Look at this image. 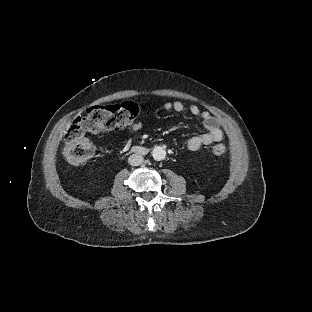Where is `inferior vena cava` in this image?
Returning a JSON list of instances; mask_svg holds the SVG:
<instances>
[{
	"label": "inferior vena cava",
	"instance_id": "602c4592",
	"mask_svg": "<svg viewBox=\"0 0 312 312\" xmlns=\"http://www.w3.org/2000/svg\"><path fill=\"white\" fill-rule=\"evenodd\" d=\"M143 160H144L143 156L139 154H132L128 158V163L131 166H139L143 163Z\"/></svg>",
	"mask_w": 312,
	"mask_h": 312
}]
</instances>
